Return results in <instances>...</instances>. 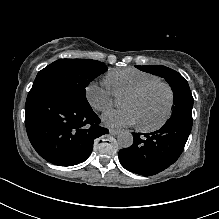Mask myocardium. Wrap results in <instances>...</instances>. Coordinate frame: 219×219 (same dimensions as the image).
I'll list each match as a JSON object with an SVG mask.
<instances>
[{
  "mask_svg": "<svg viewBox=\"0 0 219 219\" xmlns=\"http://www.w3.org/2000/svg\"><path fill=\"white\" fill-rule=\"evenodd\" d=\"M164 86L166 87L168 94H169V102H168V107H167V111L165 113V116L163 117V119L156 125L153 126H144V125H138V128L140 131L142 132H153V131H157L159 129H161L163 126H165V124L168 122V120L170 119L171 115H172V110H173V106H174V91L173 88L171 87V85L166 82V81H162V80H156V81H151V82H147L141 86H139L138 88L130 91L129 93L126 94V97H136L142 93H144L146 90L154 87V86Z\"/></svg>",
  "mask_w": 219,
  "mask_h": 219,
  "instance_id": "myocardium-1",
  "label": "myocardium"
}]
</instances>
